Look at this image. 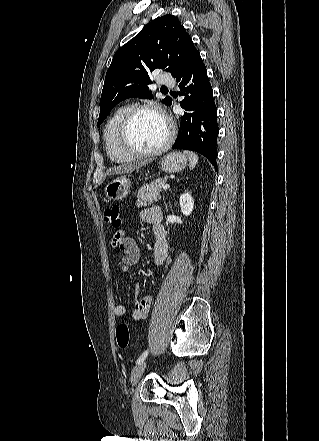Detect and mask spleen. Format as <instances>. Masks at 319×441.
Listing matches in <instances>:
<instances>
[{
    "instance_id": "spleen-1",
    "label": "spleen",
    "mask_w": 319,
    "mask_h": 441,
    "mask_svg": "<svg viewBox=\"0 0 319 441\" xmlns=\"http://www.w3.org/2000/svg\"><path fill=\"white\" fill-rule=\"evenodd\" d=\"M185 154L189 158V167H190V169H194L195 166L198 163V155L196 153H194V152H191V151H185Z\"/></svg>"
}]
</instances>
